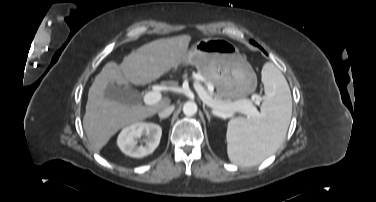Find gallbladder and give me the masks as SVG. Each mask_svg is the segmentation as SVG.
Returning a JSON list of instances; mask_svg holds the SVG:
<instances>
[{"label":"gallbladder","instance_id":"gallbladder-1","mask_svg":"<svg viewBox=\"0 0 376 202\" xmlns=\"http://www.w3.org/2000/svg\"><path fill=\"white\" fill-rule=\"evenodd\" d=\"M138 95V91L134 88L119 86L111 83L107 85L104 91V96L107 99L122 104L135 103Z\"/></svg>","mask_w":376,"mask_h":202}]
</instances>
